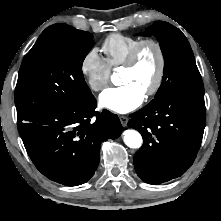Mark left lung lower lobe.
<instances>
[{
	"label": "left lung lower lobe",
	"mask_w": 221,
	"mask_h": 221,
	"mask_svg": "<svg viewBox=\"0 0 221 221\" xmlns=\"http://www.w3.org/2000/svg\"><path fill=\"white\" fill-rule=\"evenodd\" d=\"M206 123L204 98L165 94L131 114L128 126L143 136L134 155L138 176L160 184L184 174L200 148Z\"/></svg>",
	"instance_id": "obj_1"
}]
</instances>
